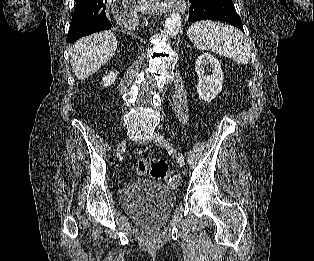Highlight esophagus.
<instances>
[{"label": "esophagus", "mask_w": 314, "mask_h": 261, "mask_svg": "<svg viewBox=\"0 0 314 261\" xmlns=\"http://www.w3.org/2000/svg\"><path fill=\"white\" fill-rule=\"evenodd\" d=\"M157 1V0H155ZM166 3L165 4H156V7L155 9L160 11V12H163V13H166V12H171L172 9H176L177 11H180V12H184L185 11V7L186 5L183 3L182 0H165Z\"/></svg>", "instance_id": "obj_1"}]
</instances>
